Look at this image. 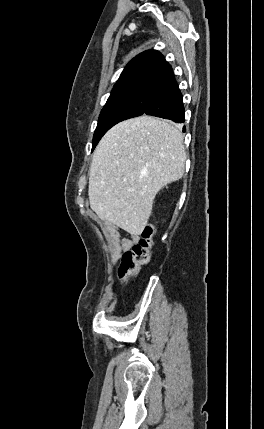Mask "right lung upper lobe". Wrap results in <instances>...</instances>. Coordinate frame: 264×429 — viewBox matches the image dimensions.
Masks as SVG:
<instances>
[{
	"mask_svg": "<svg viewBox=\"0 0 264 429\" xmlns=\"http://www.w3.org/2000/svg\"><path fill=\"white\" fill-rule=\"evenodd\" d=\"M173 77L172 68L163 55L158 51L149 50L139 54L127 64L112 92L139 86L162 88Z\"/></svg>",
	"mask_w": 264,
	"mask_h": 429,
	"instance_id": "right-lung-upper-lobe-1",
	"label": "right lung upper lobe"
}]
</instances>
